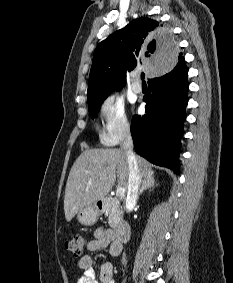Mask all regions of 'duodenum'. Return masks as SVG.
<instances>
[{"label":"duodenum","mask_w":233,"mask_h":283,"mask_svg":"<svg viewBox=\"0 0 233 283\" xmlns=\"http://www.w3.org/2000/svg\"><path fill=\"white\" fill-rule=\"evenodd\" d=\"M107 206L106 202H99V210H104ZM130 235L129 226L126 223H119L114 233V244L117 251H121L122 244L126 242Z\"/></svg>","instance_id":"obj_1"}]
</instances>
